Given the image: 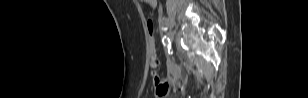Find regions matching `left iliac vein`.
Returning <instances> with one entry per match:
<instances>
[{"label": "left iliac vein", "mask_w": 308, "mask_h": 98, "mask_svg": "<svg viewBox=\"0 0 308 98\" xmlns=\"http://www.w3.org/2000/svg\"><path fill=\"white\" fill-rule=\"evenodd\" d=\"M167 36H168L169 40L172 41L174 39V32L172 30H169L167 32Z\"/></svg>", "instance_id": "left-iliac-vein-1"}]
</instances>
